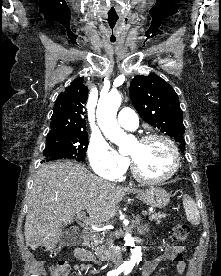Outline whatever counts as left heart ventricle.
I'll return each instance as SVG.
<instances>
[{"mask_svg":"<svg viewBox=\"0 0 221 276\" xmlns=\"http://www.w3.org/2000/svg\"><path fill=\"white\" fill-rule=\"evenodd\" d=\"M141 172L149 177H161L173 167V155L162 140L154 139L145 143L135 142L129 151Z\"/></svg>","mask_w":221,"mask_h":276,"instance_id":"obj_1","label":"left heart ventricle"}]
</instances>
